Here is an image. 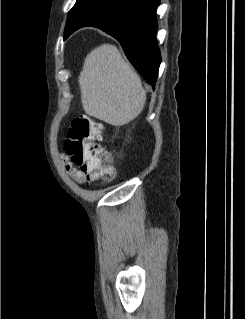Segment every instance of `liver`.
Returning <instances> with one entry per match:
<instances>
[{"mask_svg":"<svg viewBox=\"0 0 245 319\" xmlns=\"http://www.w3.org/2000/svg\"><path fill=\"white\" fill-rule=\"evenodd\" d=\"M79 87L84 111L113 126H123L143 110L146 91L138 74L115 45L103 44L85 58Z\"/></svg>","mask_w":245,"mask_h":319,"instance_id":"6515ba94","label":"liver"}]
</instances>
